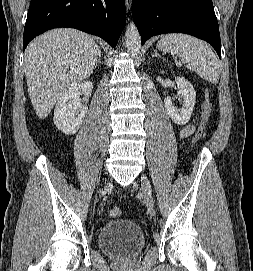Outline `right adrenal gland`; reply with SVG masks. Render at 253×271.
Here are the masks:
<instances>
[{"label":"right adrenal gland","mask_w":253,"mask_h":271,"mask_svg":"<svg viewBox=\"0 0 253 271\" xmlns=\"http://www.w3.org/2000/svg\"><path fill=\"white\" fill-rule=\"evenodd\" d=\"M97 63H101V54H99V56H98Z\"/></svg>","instance_id":"2a0ac1e0"}]
</instances>
